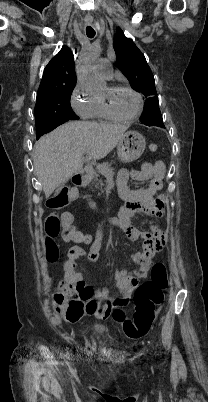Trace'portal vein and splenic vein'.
Instances as JSON below:
<instances>
[{"label":"portal vein and splenic vein","mask_w":208,"mask_h":402,"mask_svg":"<svg viewBox=\"0 0 208 402\" xmlns=\"http://www.w3.org/2000/svg\"><path fill=\"white\" fill-rule=\"evenodd\" d=\"M85 157L87 158V160H91V156H90L89 152H85ZM99 169L107 170L108 166L107 165H101V166H99Z\"/></svg>","instance_id":"1"}]
</instances>
